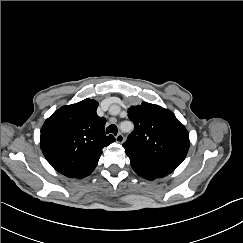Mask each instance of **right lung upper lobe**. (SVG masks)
Returning <instances> with one entry per match:
<instances>
[{"instance_id":"cb5924a9","label":"right lung upper lobe","mask_w":243,"mask_h":243,"mask_svg":"<svg viewBox=\"0 0 243 243\" xmlns=\"http://www.w3.org/2000/svg\"><path fill=\"white\" fill-rule=\"evenodd\" d=\"M98 102L89 98L56 110L43 124L42 152L59 173L84 178L97 166L102 149L115 141L105 135V118L98 117Z\"/></svg>"}]
</instances>
